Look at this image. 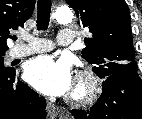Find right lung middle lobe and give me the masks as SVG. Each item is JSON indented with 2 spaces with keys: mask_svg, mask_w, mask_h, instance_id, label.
I'll use <instances>...</instances> for the list:
<instances>
[{
  "mask_svg": "<svg viewBox=\"0 0 142 119\" xmlns=\"http://www.w3.org/2000/svg\"><path fill=\"white\" fill-rule=\"evenodd\" d=\"M4 55H5V53H0V73H5V72H7V71L12 70V68H6V67L3 65V62H4Z\"/></svg>",
  "mask_w": 142,
  "mask_h": 119,
  "instance_id": "dd1d6c3e",
  "label": "right lung middle lobe"
}]
</instances>
